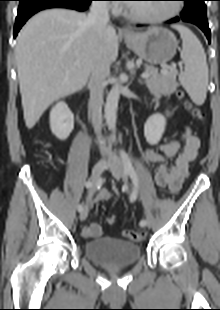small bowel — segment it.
<instances>
[{
	"instance_id": "1",
	"label": "small bowel",
	"mask_w": 220,
	"mask_h": 310,
	"mask_svg": "<svg viewBox=\"0 0 220 310\" xmlns=\"http://www.w3.org/2000/svg\"><path fill=\"white\" fill-rule=\"evenodd\" d=\"M169 114V111H167ZM200 148V141L190 128H185L180 139L171 140L158 146L157 149H148L142 159L145 163L155 165L153 175L157 186L168 188L171 192H178L188 172V166L193 161ZM167 158L173 160L172 164ZM112 197V193L106 189L100 191L95 201H105ZM95 201H88L86 205L92 207ZM83 236L88 239L100 237L103 233L102 226L98 223L86 225L83 228Z\"/></svg>"
}]
</instances>
